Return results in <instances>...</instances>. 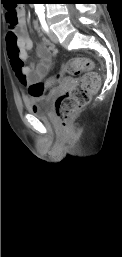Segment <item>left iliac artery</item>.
<instances>
[{
	"instance_id": "left-iliac-artery-1",
	"label": "left iliac artery",
	"mask_w": 122,
	"mask_h": 257,
	"mask_svg": "<svg viewBox=\"0 0 122 257\" xmlns=\"http://www.w3.org/2000/svg\"><path fill=\"white\" fill-rule=\"evenodd\" d=\"M38 18L40 20V23H41V26L42 28L48 32V26H47V23H46V20H45V14L42 12L38 13Z\"/></svg>"
}]
</instances>
